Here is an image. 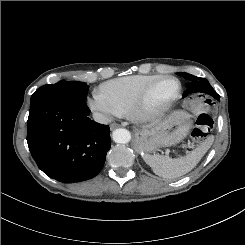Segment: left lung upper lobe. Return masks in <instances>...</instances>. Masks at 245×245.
<instances>
[{"label": "left lung upper lobe", "mask_w": 245, "mask_h": 245, "mask_svg": "<svg viewBox=\"0 0 245 245\" xmlns=\"http://www.w3.org/2000/svg\"><path fill=\"white\" fill-rule=\"evenodd\" d=\"M178 74L182 75L185 79L191 82L188 89L184 92V95L191 93H205L213 96V94L216 93L209 84L208 80H206L205 78L202 79L200 77H196L188 73Z\"/></svg>", "instance_id": "5c2ea615"}]
</instances>
